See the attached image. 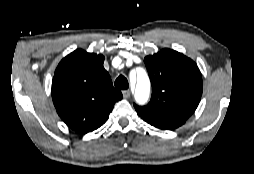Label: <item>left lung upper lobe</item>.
<instances>
[{
  "label": "left lung upper lobe",
  "mask_w": 254,
  "mask_h": 174,
  "mask_svg": "<svg viewBox=\"0 0 254 174\" xmlns=\"http://www.w3.org/2000/svg\"><path fill=\"white\" fill-rule=\"evenodd\" d=\"M152 83V98L136 111L186 121L196 110L202 95L198 66L185 55L163 49L144 59Z\"/></svg>",
  "instance_id": "5c2ea615"
}]
</instances>
